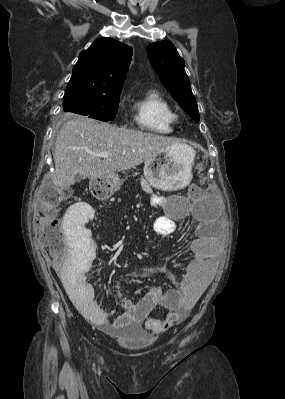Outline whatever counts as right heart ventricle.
I'll return each instance as SVG.
<instances>
[{"instance_id":"obj_1","label":"right heart ventricle","mask_w":285,"mask_h":399,"mask_svg":"<svg viewBox=\"0 0 285 399\" xmlns=\"http://www.w3.org/2000/svg\"><path fill=\"white\" fill-rule=\"evenodd\" d=\"M135 122L144 131L168 134L175 122L170 103L158 91L150 90L136 98L133 103Z\"/></svg>"}]
</instances>
